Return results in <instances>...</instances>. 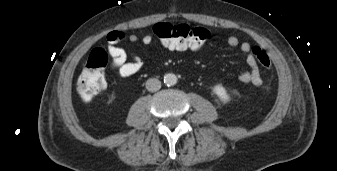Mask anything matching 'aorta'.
I'll list each match as a JSON object with an SVG mask.
<instances>
[{
	"instance_id": "1",
	"label": "aorta",
	"mask_w": 337,
	"mask_h": 171,
	"mask_svg": "<svg viewBox=\"0 0 337 171\" xmlns=\"http://www.w3.org/2000/svg\"><path fill=\"white\" fill-rule=\"evenodd\" d=\"M164 83L167 86H173L177 83V77L173 73H168L164 76Z\"/></svg>"
}]
</instances>
